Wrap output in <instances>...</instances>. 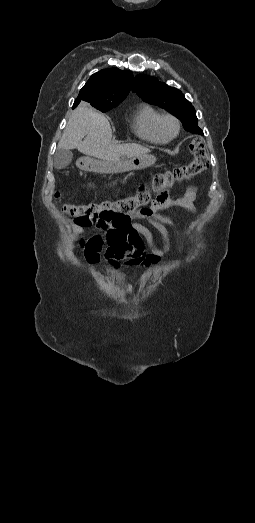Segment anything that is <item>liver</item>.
<instances>
[{
	"label": "liver",
	"mask_w": 255,
	"mask_h": 523,
	"mask_svg": "<svg viewBox=\"0 0 255 523\" xmlns=\"http://www.w3.org/2000/svg\"><path fill=\"white\" fill-rule=\"evenodd\" d=\"M86 136V138H84ZM111 126L103 116L93 108L80 104L70 116L64 134L58 144L63 150H73L85 156L98 158L103 164L105 174H113L120 168L121 158H134V156H148V148L140 144H112ZM84 138V140H83ZM153 158V156H152ZM155 162V158H153Z\"/></svg>",
	"instance_id": "obj_1"
}]
</instances>
